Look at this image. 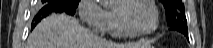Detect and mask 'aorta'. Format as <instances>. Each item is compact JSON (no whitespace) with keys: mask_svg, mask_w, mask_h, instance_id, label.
I'll list each match as a JSON object with an SVG mask.
<instances>
[{"mask_svg":"<svg viewBox=\"0 0 213 48\" xmlns=\"http://www.w3.org/2000/svg\"><path fill=\"white\" fill-rule=\"evenodd\" d=\"M101 2V4L103 5H108L110 3H112L114 0H99Z\"/></svg>","mask_w":213,"mask_h":48,"instance_id":"762f6f07","label":"aorta"}]
</instances>
